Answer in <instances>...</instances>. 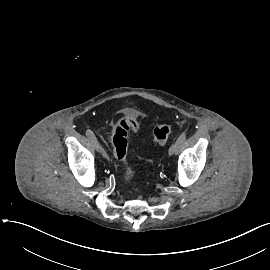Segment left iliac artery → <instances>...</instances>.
<instances>
[{"instance_id":"left-iliac-artery-1","label":"left iliac artery","mask_w":270,"mask_h":270,"mask_svg":"<svg viewBox=\"0 0 270 270\" xmlns=\"http://www.w3.org/2000/svg\"><path fill=\"white\" fill-rule=\"evenodd\" d=\"M186 139V132H183L177 139V151L182 147L184 141Z\"/></svg>"}]
</instances>
